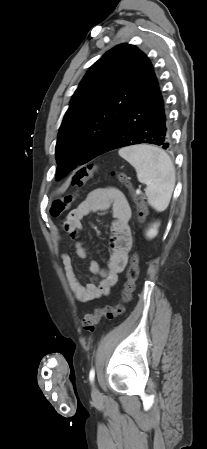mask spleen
<instances>
[{"mask_svg": "<svg viewBox=\"0 0 207 449\" xmlns=\"http://www.w3.org/2000/svg\"><path fill=\"white\" fill-rule=\"evenodd\" d=\"M119 155L135 168L139 182L147 185L148 204L156 211H164L175 186V169L169 155L145 144L122 148Z\"/></svg>", "mask_w": 207, "mask_h": 449, "instance_id": "obj_1", "label": "spleen"}]
</instances>
